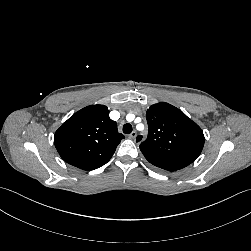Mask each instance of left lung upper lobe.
<instances>
[{"label": "left lung upper lobe", "mask_w": 251, "mask_h": 251, "mask_svg": "<svg viewBox=\"0 0 251 251\" xmlns=\"http://www.w3.org/2000/svg\"><path fill=\"white\" fill-rule=\"evenodd\" d=\"M148 137L140 144L145 158L155 167L177 171L191 164L201 153V128L178 108L165 103L152 105L146 113ZM142 136L137 137V142Z\"/></svg>", "instance_id": "left-lung-upper-lobe-1"}]
</instances>
